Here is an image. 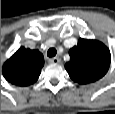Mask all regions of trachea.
Masks as SVG:
<instances>
[{"instance_id": "3493384b", "label": "trachea", "mask_w": 115, "mask_h": 114, "mask_svg": "<svg viewBox=\"0 0 115 114\" xmlns=\"http://www.w3.org/2000/svg\"><path fill=\"white\" fill-rule=\"evenodd\" d=\"M56 53H57V51L55 48H50L47 52V56L51 58V57H54L56 55Z\"/></svg>"}]
</instances>
